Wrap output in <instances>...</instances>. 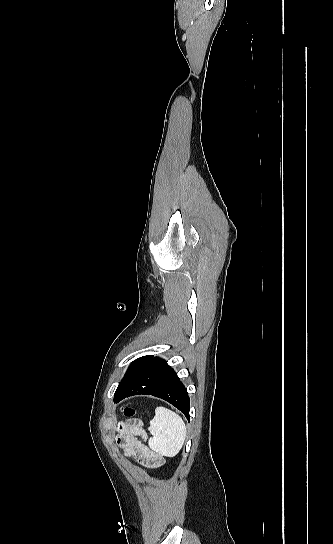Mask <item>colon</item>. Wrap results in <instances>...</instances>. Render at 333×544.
I'll return each mask as SVG.
<instances>
[{
    "label": "colon",
    "mask_w": 333,
    "mask_h": 544,
    "mask_svg": "<svg viewBox=\"0 0 333 544\" xmlns=\"http://www.w3.org/2000/svg\"><path fill=\"white\" fill-rule=\"evenodd\" d=\"M122 413L124 416L131 418L136 414V410L133 407L125 406L122 408Z\"/></svg>",
    "instance_id": "1"
}]
</instances>
